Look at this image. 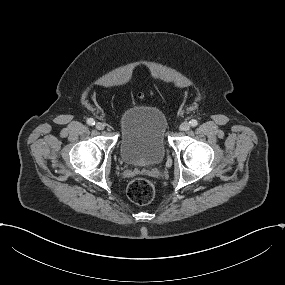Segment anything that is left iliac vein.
I'll return each mask as SVG.
<instances>
[{
  "label": "left iliac vein",
  "mask_w": 285,
  "mask_h": 285,
  "mask_svg": "<svg viewBox=\"0 0 285 285\" xmlns=\"http://www.w3.org/2000/svg\"><path fill=\"white\" fill-rule=\"evenodd\" d=\"M179 129L181 130V131H188L189 129H190V123L189 122H183L181 125H180V127H179Z\"/></svg>",
  "instance_id": "left-iliac-vein-1"
}]
</instances>
